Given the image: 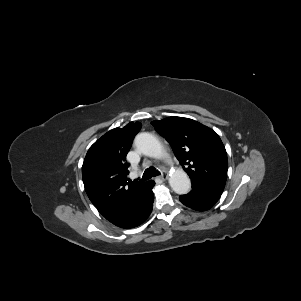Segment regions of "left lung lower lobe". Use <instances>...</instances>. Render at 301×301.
<instances>
[{"label":"left lung lower lobe","mask_w":301,"mask_h":301,"mask_svg":"<svg viewBox=\"0 0 301 301\" xmlns=\"http://www.w3.org/2000/svg\"><path fill=\"white\" fill-rule=\"evenodd\" d=\"M222 195V191L192 183L189 194L180 195V201L197 211H206L213 207Z\"/></svg>","instance_id":"obj_1"}]
</instances>
